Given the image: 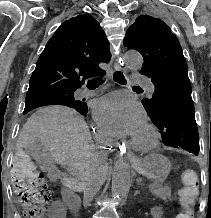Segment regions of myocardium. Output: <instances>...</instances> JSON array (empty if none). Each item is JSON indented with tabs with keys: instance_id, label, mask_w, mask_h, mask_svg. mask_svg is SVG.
I'll return each instance as SVG.
<instances>
[{
	"instance_id": "obj_1",
	"label": "myocardium",
	"mask_w": 211,
	"mask_h": 218,
	"mask_svg": "<svg viewBox=\"0 0 211 218\" xmlns=\"http://www.w3.org/2000/svg\"><path fill=\"white\" fill-rule=\"evenodd\" d=\"M144 130L148 134V141L145 143L138 142L134 137L129 141V146L136 152L149 153L158 143L159 135L156 128L150 124L145 125Z\"/></svg>"
}]
</instances>
